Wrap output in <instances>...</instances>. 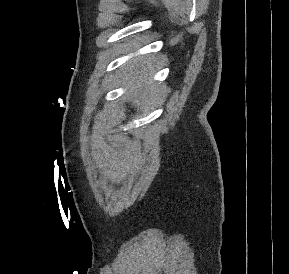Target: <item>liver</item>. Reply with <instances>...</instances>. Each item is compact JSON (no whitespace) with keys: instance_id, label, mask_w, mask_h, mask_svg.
Wrapping results in <instances>:
<instances>
[{"instance_id":"6515ba94","label":"liver","mask_w":289,"mask_h":274,"mask_svg":"<svg viewBox=\"0 0 289 274\" xmlns=\"http://www.w3.org/2000/svg\"><path fill=\"white\" fill-rule=\"evenodd\" d=\"M137 49L135 44H121L118 51L122 54L132 53ZM160 66L153 55H138L123 65L122 83L129 87L128 96L142 107L150 108L161 101L167 93L165 86L152 81V77Z\"/></svg>"}]
</instances>
